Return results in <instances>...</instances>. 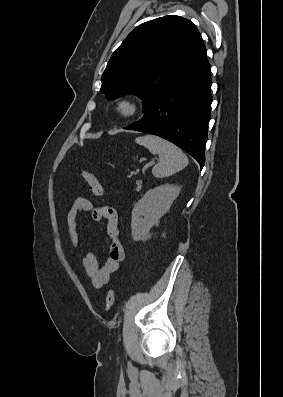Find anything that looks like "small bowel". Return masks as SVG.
<instances>
[{
  "mask_svg": "<svg viewBox=\"0 0 283 397\" xmlns=\"http://www.w3.org/2000/svg\"><path fill=\"white\" fill-rule=\"evenodd\" d=\"M81 213H89L95 221L105 223L111 240L108 257L102 266L92 252H86L83 257V266L91 283L96 288H102L109 282L111 275L118 270L125 258L124 248L118 237L117 210L110 205L94 207L88 199L77 198L66 216L68 235L74 248H77L79 244L77 218Z\"/></svg>",
  "mask_w": 283,
  "mask_h": 397,
  "instance_id": "c3829d8e",
  "label": "small bowel"
}]
</instances>
